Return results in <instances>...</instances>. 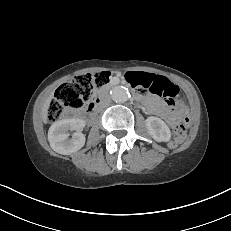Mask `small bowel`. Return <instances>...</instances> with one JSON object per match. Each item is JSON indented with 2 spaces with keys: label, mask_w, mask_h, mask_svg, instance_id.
I'll use <instances>...</instances> for the list:
<instances>
[{
  "label": "small bowel",
  "mask_w": 231,
  "mask_h": 231,
  "mask_svg": "<svg viewBox=\"0 0 231 231\" xmlns=\"http://www.w3.org/2000/svg\"><path fill=\"white\" fill-rule=\"evenodd\" d=\"M135 75L140 76V79H133L132 76ZM127 81L138 90L146 89L151 93L144 104L148 113L163 116L170 124L175 122V116L170 109L171 99L167 97L171 93L169 87L175 85L167 77L152 72L131 71L127 74ZM181 110L184 111V107Z\"/></svg>",
  "instance_id": "small-bowel-1"
}]
</instances>
